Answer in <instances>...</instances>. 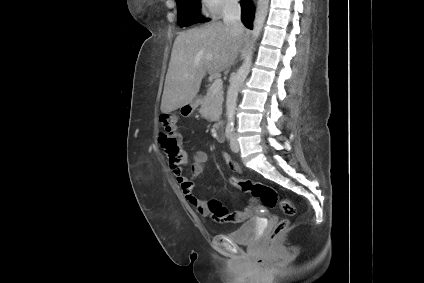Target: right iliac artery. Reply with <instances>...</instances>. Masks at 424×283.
<instances>
[{
  "label": "right iliac artery",
  "mask_w": 424,
  "mask_h": 283,
  "mask_svg": "<svg viewBox=\"0 0 424 283\" xmlns=\"http://www.w3.org/2000/svg\"><path fill=\"white\" fill-rule=\"evenodd\" d=\"M233 130H234L233 126H227V127H226L225 134H226V138H227L228 140H229V139H231V137H232V133H233Z\"/></svg>",
  "instance_id": "obj_1"
}]
</instances>
